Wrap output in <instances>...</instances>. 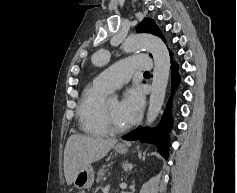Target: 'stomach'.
<instances>
[{"label":"stomach","instance_id":"obj_1","mask_svg":"<svg viewBox=\"0 0 237 193\" xmlns=\"http://www.w3.org/2000/svg\"><path fill=\"white\" fill-rule=\"evenodd\" d=\"M114 149L119 154H125L128 150L124 144H116ZM93 182L94 170L91 165H88L79 170L73 181V184L78 189H87L92 186Z\"/></svg>","mask_w":237,"mask_h":193}]
</instances>
